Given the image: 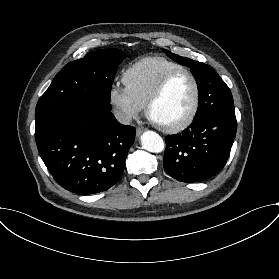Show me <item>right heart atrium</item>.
<instances>
[{
	"label": "right heart atrium",
	"instance_id": "right-heart-atrium-1",
	"mask_svg": "<svg viewBox=\"0 0 279 279\" xmlns=\"http://www.w3.org/2000/svg\"><path fill=\"white\" fill-rule=\"evenodd\" d=\"M108 98L110 104L117 109L120 121L125 123L137 118L146 109V101L126 84H113Z\"/></svg>",
	"mask_w": 279,
	"mask_h": 279
}]
</instances>
